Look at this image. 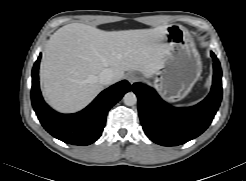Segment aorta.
Instances as JSON below:
<instances>
[{
    "label": "aorta",
    "instance_id": "aorta-1",
    "mask_svg": "<svg viewBox=\"0 0 246 181\" xmlns=\"http://www.w3.org/2000/svg\"><path fill=\"white\" fill-rule=\"evenodd\" d=\"M124 104L127 106H133L137 103V97L133 92H128L123 97Z\"/></svg>",
    "mask_w": 246,
    "mask_h": 181
}]
</instances>
